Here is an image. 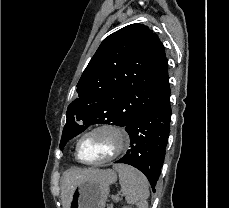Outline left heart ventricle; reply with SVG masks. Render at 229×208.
Masks as SVG:
<instances>
[{
  "instance_id": "left-heart-ventricle-1",
  "label": "left heart ventricle",
  "mask_w": 229,
  "mask_h": 208,
  "mask_svg": "<svg viewBox=\"0 0 229 208\" xmlns=\"http://www.w3.org/2000/svg\"><path fill=\"white\" fill-rule=\"evenodd\" d=\"M89 134L80 143V154L84 160H100L114 154L120 148L113 147L112 143H108L106 135H103L102 139H89ZM87 138L90 140L88 143L85 141Z\"/></svg>"
}]
</instances>
